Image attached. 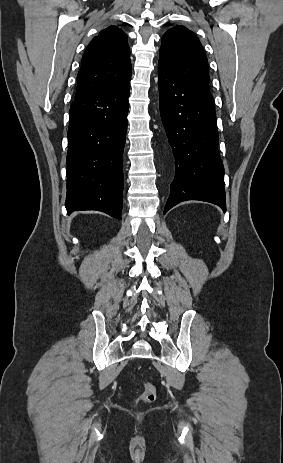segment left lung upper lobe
<instances>
[{"instance_id": "obj_1", "label": "left lung upper lobe", "mask_w": 283, "mask_h": 463, "mask_svg": "<svg viewBox=\"0 0 283 463\" xmlns=\"http://www.w3.org/2000/svg\"><path fill=\"white\" fill-rule=\"evenodd\" d=\"M159 62L196 90L209 92L208 60L199 39L184 26L169 29L162 36Z\"/></svg>"}]
</instances>
